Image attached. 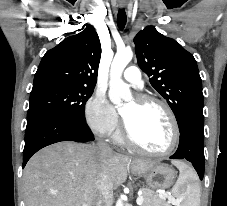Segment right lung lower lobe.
I'll list each match as a JSON object with an SVG mask.
<instances>
[{
  "mask_svg": "<svg viewBox=\"0 0 227 206\" xmlns=\"http://www.w3.org/2000/svg\"><path fill=\"white\" fill-rule=\"evenodd\" d=\"M94 140L83 121L63 116L39 115L27 121L23 166L41 148L60 141Z\"/></svg>",
  "mask_w": 227,
  "mask_h": 206,
  "instance_id": "98d812e1",
  "label": "right lung lower lobe"
}]
</instances>
